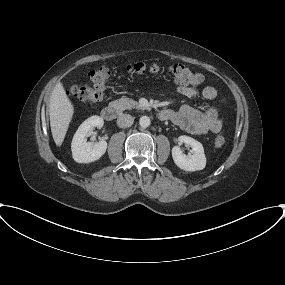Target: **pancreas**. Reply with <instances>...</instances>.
<instances>
[{
  "mask_svg": "<svg viewBox=\"0 0 285 285\" xmlns=\"http://www.w3.org/2000/svg\"><path fill=\"white\" fill-rule=\"evenodd\" d=\"M112 103L117 109L121 111L132 108L142 109L137 101L130 98H121L113 101Z\"/></svg>",
  "mask_w": 285,
  "mask_h": 285,
  "instance_id": "1",
  "label": "pancreas"
}]
</instances>
